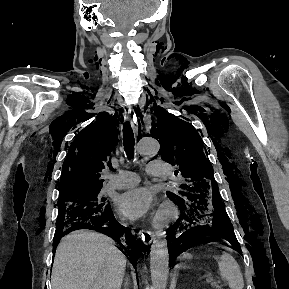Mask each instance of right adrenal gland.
<instances>
[{
  "label": "right adrenal gland",
  "mask_w": 289,
  "mask_h": 289,
  "mask_svg": "<svg viewBox=\"0 0 289 289\" xmlns=\"http://www.w3.org/2000/svg\"><path fill=\"white\" fill-rule=\"evenodd\" d=\"M128 285H129V284H128V278L126 277V278H125V282H124V289H129V288H128Z\"/></svg>",
  "instance_id": "1"
}]
</instances>
